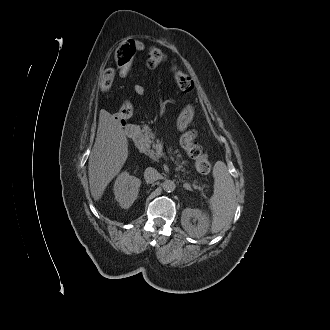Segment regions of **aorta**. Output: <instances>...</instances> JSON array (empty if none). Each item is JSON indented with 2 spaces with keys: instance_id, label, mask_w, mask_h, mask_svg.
I'll return each mask as SVG.
<instances>
[{
  "instance_id": "obj_1",
  "label": "aorta",
  "mask_w": 330,
  "mask_h": 330,
  "mask_svg": "<svg viewBox=\"0 0 330 330\" xmlns=\"http://www.w3.org/2000/svg\"><path fill=\"white\" fill-rule=\"evenodd\" d=\"M163 190L166 191V192H173L176 188V185L175 183L172 181V180H166L163 182Z\"/></svg>"
}]
</instances>
